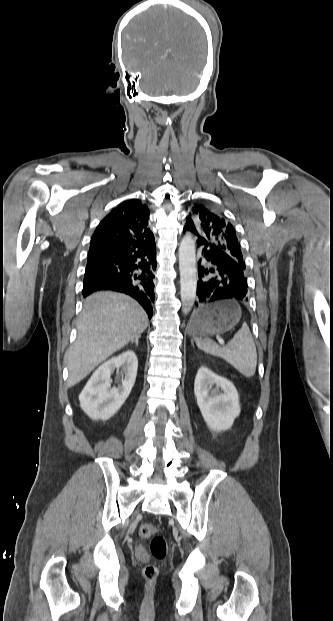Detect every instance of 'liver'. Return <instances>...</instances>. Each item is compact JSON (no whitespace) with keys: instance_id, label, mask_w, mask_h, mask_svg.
<instances>
[{"instance_id":"1","label":"liver","mask_w":333,"mask_h":621,"mask_svg":"<svg viewBox=\"0 0 333 621\" xmlns=\"http://www.w3.org/2000/svg\"><path fill=\"white\" fill-rule=\"evenodd\" d=\"M147 326V314L132 298L103 291L88 296L77 339L67 354L68 385L79 383L102 361L141 336Z\"/></svg>"}]
</instances>
